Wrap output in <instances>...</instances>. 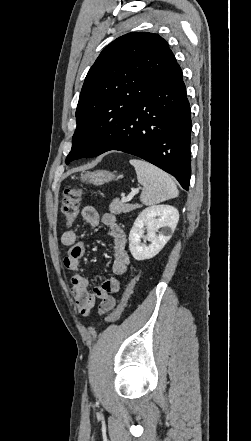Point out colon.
<instances>
[{
    "label": "colon",
    "mask_w": 251,
    "mask_h": 441,
    "mask_svg": "<svg viewBox=\"0 0 251 441\" xmlns=\"http://www.w3.org/2000/svg\"><path fill=\"white\" fill-rule=\"evenodd\" d=\"M83 188H69L64 191L62 200V213L67 225L72 224L78 214L79 204L83 195ZM135 280L126 288L120 303L114 308L109 316L105 318L104 324H111L116 322L122 315L127 301L133 291Z\"/></svg>",
    "instance_id": "obj_1"
}]
</instances>
